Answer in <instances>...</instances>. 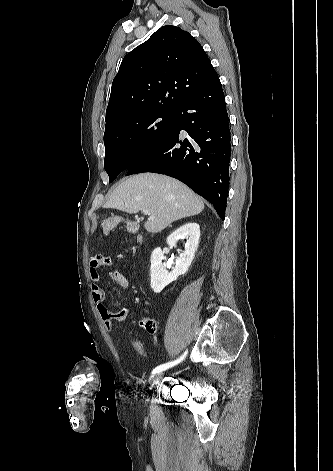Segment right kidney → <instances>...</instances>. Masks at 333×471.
<instances>
[{"instance_id":"right-kidney-1","label":"right kidney","mask_w":333,"mask_h":471,"mask_svg":"<svg viewBox=\"0 0 333 471\" xmlns=\"http://www.w3.org/2000/svg\"><path fill=\"white\" fill-rule=\"evenodd\" d=\"M200 238V226L190 222L175 230L168 238L167 243L173 247L179 239H185V250L176 259L175 268L169 273L162 260L164 258L161 248H156L151 255V288L155 293H160L168 284L175 281L180 275H184L198 248Z\"/></svg>"}]
</instances>
